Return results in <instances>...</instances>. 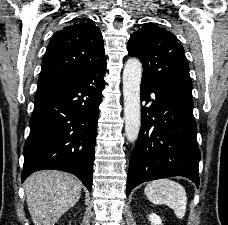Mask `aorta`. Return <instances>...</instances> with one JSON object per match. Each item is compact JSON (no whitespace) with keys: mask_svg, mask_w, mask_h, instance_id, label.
<instances>
[{"mask_svg":"<svg viewBox=\"0 0 228 225\" xmlns=\"http://www.w3.org/2000/svg\"><path fill=\"white\" fill-rule=\"evenodd\" d=\"M142 62L128 58L123 70L124 119L126 139L135 143L141 127L140 82Z\"/></svg>","mask_w":228,"mask_h":225,"instance_id":"1","label":"aorta"}]
</instances>
